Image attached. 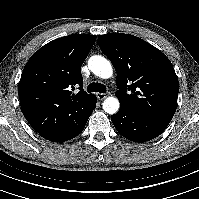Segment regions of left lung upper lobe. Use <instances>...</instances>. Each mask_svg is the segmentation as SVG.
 <instances>
[{
    "instance_id": "5c2ea615",
    "label": "left lung upper lobe",
    "mask_w": 199,
    "mask_h": 199,
    "mask_svg": "<svg viewBox=\"0 0 199 199\" xmlns=\"http://www.w3.org/2000/svg\"><path fill=\"white\" fill-rule=\"evenodd\" d=\"M117 71L116 96L135 111L170 123L177 108L178 78L170 60L148 42L123 33L98 36Z\"/></svg>"
}]
</instances>
